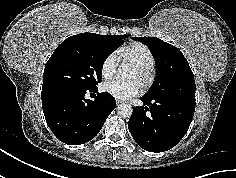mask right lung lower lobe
<instances>
[{"instance_id": "98d812e1", "label": "right lung lower lobe", "mask_w": 236, "mask_h": 178, "mask_svg": "<svg viewBox=\"0 0 236 178\" xmlns=\"http://www.w3.org/2000/svg\"><path fill=\"white\" fill-rule=\"evenodd\" d=\"M86 92L97 95L91 93L95 99H86ZM41 98L47 125L60 141L69 145L92 140L116 107L115 99L108 93H98L97 88L44 87Z\"/></svg>"}]
</instances>
